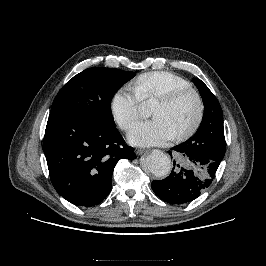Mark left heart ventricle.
I'll return each instance as SVG.
<instances>
[{
	"mask_svg": "<svg viewBox=\"0 0 266 266\" xmlns=\"http://www.w3.org/2000/svg\"><path fill=\"white\" fill-rule=\"evenodd\" d=\"M197 112L196 101L188 96L174 105L154 103L151 114L154 118H163L174 130L175 134L185 131L193 123Z\"/></svg>",
	"mask_w": 266,
	"mask_h": 266,
	"instance_id": "obj_1",
	"label": "left heart ventricle"
}]
</instances>
